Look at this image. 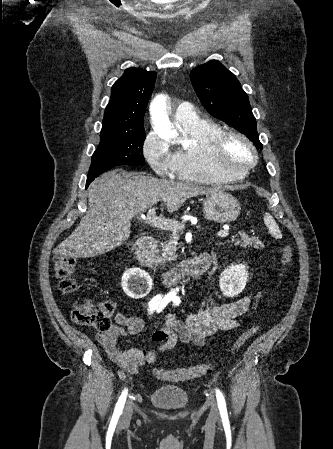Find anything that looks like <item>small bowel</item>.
Listing matches in <instances>:
<instances>
[{"instance_id":"small-bowel-1","label":"small bowel","mask_w":333,"mask_h":449,"mask_svg":"<svg viewBox=\"0 0 333 449\" xmlns=\"http://www.w3.org/2000/svg\"><path fill=\"white\" fill-rule=\"evenodd\" d=\"M260 297L261 293H257L254 297L246 296L234 302L208 306L189 314L185 320L168 314L164 327L157 329L151 336V341L156 343L153 349L142 347L121 350L118 346L121 336L136 335L143 331L145 322L137 315L116 314L114 325L98 332L96 337L112 362L125 372L135 374L139 367L153 364L159 353L173 349L179 342L202 346L208 336L238 328L253 313Z\"/></svg>"}]
</instances>
